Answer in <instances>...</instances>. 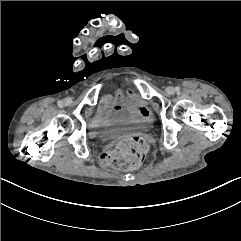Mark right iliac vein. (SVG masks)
I'll use <instances>...</instances> for the list:
<instances>
[{"mask_svg": "<svg viewBox=\"0 0 241 241\" xmlns=\"http://www.w3.org/2000/svg\"><path fill=\"white\" fill-rule=\"evenodd\" d=\"M71 102H72V100L69 97L64 100L65 105H70Z\"/></svg>", "mask_w": 241, "mask_h": 241, "instance_id": "obj_1", "label": "right iliac vein"}]
</instances>
